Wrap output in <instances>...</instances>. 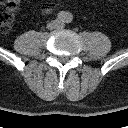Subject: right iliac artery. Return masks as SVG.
Wrapping results in <instances>:
<instances>
[{
	"label": "right iliac artery",
	"mask_w": 128,
	"mask_h": 128,
	"mask_svg": "<svg viewBox=\"0 0 128 128\" xmlns=\"http://www.w3.org/2000/svg\"><path fill=\"white\" fill-rule=\"evenodd\" d=\"M57 18L60 20V21H65L66 19V13L65 12H59L58 15H57Z\"/></svg>",
	"instance_id": "right-iliac-artery-1"
}]
</instances>
